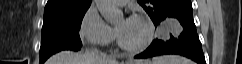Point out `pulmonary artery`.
Returning a JSON list of instances; mask_svg holds the SVG:
<instances>
[{
    "label": "pulmonary artery",
    "mask_w": 242,
    "mask_h": 64,
    "mask_svg": "<svg viewBox=\"0 0 242 64\" xmlns=\"http://www.w3.org/2000/svg\"><path fill=\"white\" fill-rule=\"evenodd\" d=\"M115 3L118 4V5H120V6H123L126 3H128V0H115Z\"/></svg>",
    "instance_id": "1"
}]
</instances>
